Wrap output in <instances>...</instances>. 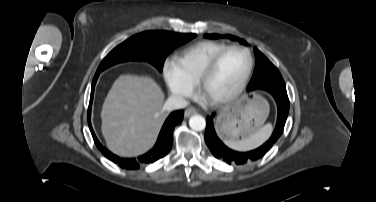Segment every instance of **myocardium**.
I'll return each instance as SVG.
<instances>
[{
  "instance_id": "1",
  "label": "myocardium",
  "mask_w": 376,
  "mask_h": 202,
  "mask_svg": "<svg viewBox=\"0 0 376 202\" xmlns=\"http://www.w3.org/2000/svg\"><path fill=\"white\" fill-rule=\"evenodd\" d=\"M234 49L241 50L247 55L248 65H247L246 71L242 79L238 83V85L235 88H233L231 91L221 96H211L207 90L209 79L214 73V71L216 70V68L218 67L222 58L229 51L234 50ZM253 66H254V57L251 51L247 47L242 46V45H237V44L227 46L226 48L222 49L219 53H217L203 69L197 82L200 95L205 99V101L208 104L212 106H221L230 102L231 100L236 98L246 87L248 80L250 78Z\"/></svg>"
}]
</instances>
